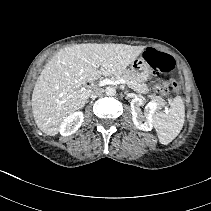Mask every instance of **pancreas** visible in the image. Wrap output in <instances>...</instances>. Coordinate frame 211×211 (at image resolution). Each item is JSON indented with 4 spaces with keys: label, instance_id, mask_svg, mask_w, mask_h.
Returning <instances> with one entry per match:
<instances>
[{
    "label": "pancreas",
    "instance_id": "cf45deb5",
    "mask_svg": "<svg viewBox=\"0 0 211 211\" xmlns=\"http://www.w3.org/2000/svg\"><path fill=\"white\" fill-rule=\"evenodd\" d=\"M113 79H124L128 86L139 94H146L149 89L146 84L138 80L130 70H124L114 75ZM149 98L156 102L160 107L164 106L166 102L160 96L149 95Z\"/></svg>",
    "mask_w": 211,
    "mask_h": 211
}]
</instances>
